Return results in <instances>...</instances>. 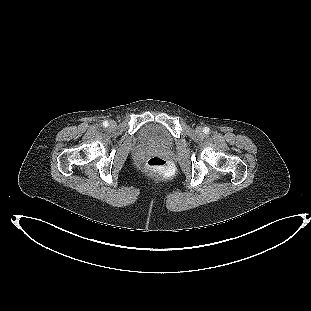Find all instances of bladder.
Returning <instances> with one entry per match:
<instances>
[{
  "label": "bladder",
  "instance_id": "bladder-1",
  "mask_svg": "<svg viewBox=\"0 0 311 311\" xmlns=\"http://www.w3.org/2000/svg\"><path fill=\"white\" fill-rule=\"evenodd\" d=\"M143 141L154 146H171L173 138L171 133L161 124L150 123L143 127L140 133Z\"/></svg>",
  "mask_w": 311,
  "mask_h": 311
}]
</instances>
